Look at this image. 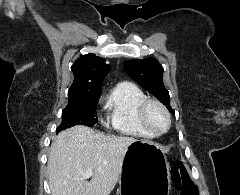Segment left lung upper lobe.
I'll return each instance as SVG.
<instances>
[{
    "label": "left lung upper lobe",
    "instance_id": "left-lung-upper-lobe-1",
    "mask_svg": "<svg viewBox=\"0 0 240 195\" xmlns=\"http://www.w3.org/2000/svg\"><path fill=\"white\" fill-rule=\"evenodd\" d=\"M123 65L133 80L160 100L171 113H174L170 107L169 92L163 83V68L155 59L126 60Z\"/></svg>",
    "mask_w": 240,
    "mask_h": 195
}]
</instances>
